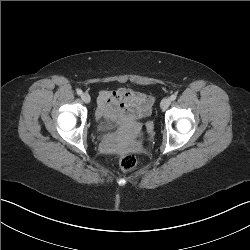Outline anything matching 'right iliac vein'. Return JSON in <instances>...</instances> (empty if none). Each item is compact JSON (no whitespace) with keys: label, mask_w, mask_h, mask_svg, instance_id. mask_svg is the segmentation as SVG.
Returning a JSON list of instances; mask_svg holds the SVG:
<instances>
[{"label":"right iliac vein","mask_w":250,"mask_h":250,"mask_svg":"<svg viewBox=\"0 0 250 250\" xmlns=\"http://www.w3.org/2000/svg\"><path fill=\"white\" fill-rule=\"evenodd\" d=\"M81 99L85 102V103H89L91 98H90V95L88 93H83L81 95Z\"/></svg>","instance_id":"1"}]
</instances>
